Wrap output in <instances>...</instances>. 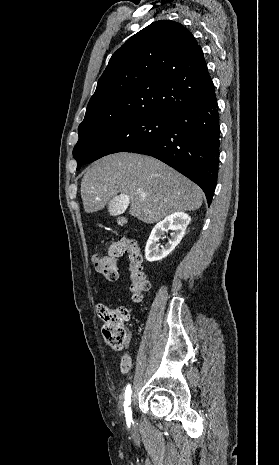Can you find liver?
<instances>
[{"label": "liver", "instance_id": "liver-1", "mask_svg": "<svg viewBox=\"0 0 279 465\" xmlns=\"http://www.w3.org/2000/svg\"><path fill=\"white\" fill-rule=\"evenodd\" d=\"M118 193L127 196L129 214L147 224L197 210L203 199L202 190L182 174L158 159L134 153L105 156L85 170L81 198L86 213L102 210L107 203L109 211Z\"/></svg>", "mask_w": 279, "mask_h": 465}]
</instances>
